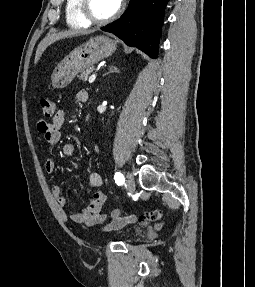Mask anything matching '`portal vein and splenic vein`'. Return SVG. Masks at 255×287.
<instances>
[{
    "label": "portal vein and splenic vein",
    "instance_id": "18ae733b",
    "mask_svg": "<svg viewBox=\"0 0 255 287\" xmlns=\"http://www.w3.org/2000/svg\"><path fill=\"white\" fill-rule=\"evenodd\" d=\"M96 78H97V74L95 72V74H92V76H90V78L88 80L89 84H92V82H94V80H96Z\"/></svg>",
    "mask_w": 255,
    "mask_h": 287
}]
</instances>
